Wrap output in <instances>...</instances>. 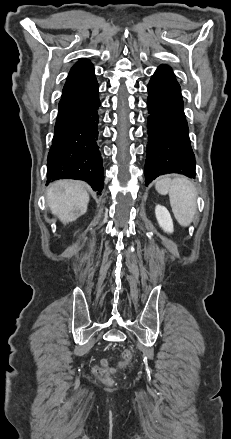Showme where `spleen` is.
<instances>
[{
  "instance_id": "spleen-1",
  "label": "spleen",
  "mask_w": 231,
  "mask_h": 439,
  "mask_svg": "<svg viewBox=\"0 0 231 439\" xmlns=\"http://www.w3.org/2000/svg\"><path fill=\"white\" fill-rule=\"evenodd\" d=\"M155 188L162 195L169 194L175 218L180 225L188 226L197 210L194 184L185 177H163L156 182Z\"/></svg>"
}]
</instances>
